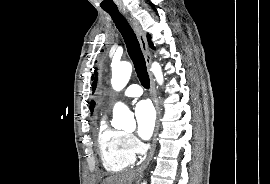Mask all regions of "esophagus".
Here are the masks:
<instances>
[{
  "label": "esophagus",
  "mask_w": 270,
  "mask_h": 184,
  "mask_svg": "<svg viewBox=\"0 0 270 184\" xmlns=\"http://www.w3.org/2000/svg\"><path fill=\"white\" fill-rule=\"evenodd\" d=\"M120 12L127 19L129 24L133 28V30H134L137 38H138V41L140 43V47H141V50L143 52V55H144V58H145V61H146L147 70H148V74H149V78H150L151 98H152V101L154 103V106H155V109H156V114H157L156 125H155L154 134H153L152 147H151V149L149 151V154H148L147 158L145 159V161L137 169L138 172H142L147 167L149 162L151 161V159L153 157V154H154V151H155L156 137H157L158 130H159L160 110H159V104H158L157 95H156L154 78H153L152 73L150 71L151 53H150V50H149V46H148V43H147L145 33L142 30V28H141L139 22L137 21V19L135 17H133L132 14L126 8H120Z\"/></svg>",
  "instance_id": "obj_1"
}]
</instances>
